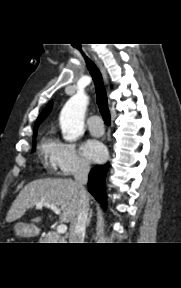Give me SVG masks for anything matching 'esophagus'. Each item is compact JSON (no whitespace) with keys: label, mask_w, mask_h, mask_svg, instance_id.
<instances>
[{"label":"esophagus","mask_w":181,"mask_h":288,"mask_svg":"<svg viewBox=\"0 0 181 288\" xmlns=\"http://www.w3.org/2000/svg\"><path fill=\"white\" fill-rule=\"evenodd\" d=\"M92 55H93V58L95 59V61L98 63L99 68H100V70L102 72L103 78H104L105 82L107 83L108 82V77H107V73H106L105 68L103 67L102 63L99 61L97 56L95 54H92Z\"/></svg>","instance_id":"34e87169"}]
</instances>
